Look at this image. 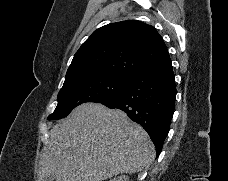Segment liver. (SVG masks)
<instances>
[{
    "mask_svg": "<svg viewBox=\"0 0 228 181\" xmlns=\"http://www.w3.org/2000/svg\"><path fill=\"white\" fill-rule=\"evenodd\" d=\"M154 145L146 131L119 109L83 103L54 125L43 149L38 181H105L151 165Z\"/></svg>",
    "mask_w": 228,
    "mask_h": 181,
    "instance_id": "6515ba94",
    "label": "liver"
}]
</instances>
